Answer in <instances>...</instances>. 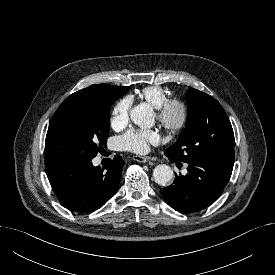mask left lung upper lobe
<instances>
[{
    "label": "left lung upper lobe",
    "mask_w": 275,
    "mask_h": 275,
    "mask_svg": "<svg viewBox=\"0 0 275 275\" xmlns=\"http://www.w3.org/2000/svg\"><path fill=\"white\" fill-rule=\"evenodd\" d=\"M186 100V128L165 154L185 163L201 157L234 163V133L220 103L191 87Z\"/></svg>",
    "instance_id": "5c2ea615"
}]
</instances>
